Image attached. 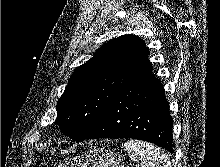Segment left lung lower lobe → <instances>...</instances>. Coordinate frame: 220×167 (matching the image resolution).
<instances>
[{
	"label": "left lung lower lobe",
	"instance_id": "left-lung-lower-lobe-1",
	"mask_svg": "<svg viewBox=\"0 0 220 167\" xmlns=\"http://www.w3.org/2000/svg\"><path fill=\"white\" fill-rule=\"evenodd\" d=\"M172 123L163 85L150 72L115 96L94 130L83 140L134 138L172 153Z\"/></svg>",
	"mask_w": 220,
	"mask_h": 167
}]
</instances>
